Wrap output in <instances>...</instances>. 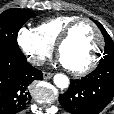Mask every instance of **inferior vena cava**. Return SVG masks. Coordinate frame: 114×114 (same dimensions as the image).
I'll return each instance as SVG.
<instances>
[{
  "label": "inferior vena cava",
  "instance_id": "obj_1",
  "mask_svg": "<svg viewBox=\"0 0 114 114\" xmlns=\"http://www.w3.org/2000/svg\"><path fill=\"white\" fill-rule=\"evenodd\" d=\"M44 58L38 55L30 56L28 58V62L30 64L36 65V66H41L44 64Z\"/></svg>",
  "mask_w": 114,
  "mask_h": 114
}]
</instances>
